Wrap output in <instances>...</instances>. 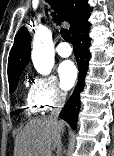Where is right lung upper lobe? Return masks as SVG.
Listing matches in <instances>:
<instances>
[{
    "instance_id": "obj_1",
    "label": "right lung upper lobe",
    "mask_w": 114,
    "mask_h": 156,
    "mask_svg": "<svg viewBox=\"0 0 114 156\" xmlns=\"http://www.w3.org/2000/svg\"><path fill=\"white\" fill-rule=\"evenodd\" d=\"M62 21L70 24L73 34L89 17L87 0H49ZM31 55V36L26 28H21L15 36L14 45L8 59V79L21 75Z\"/></svg>"
}]
</instances>
